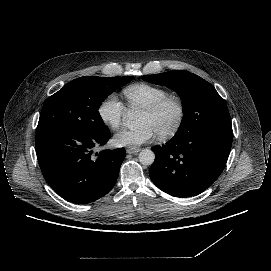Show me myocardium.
Returning <instances> with one entry per match:
<instances>
[{"mask_svg":"<svg viewBox=\"0 0 271 271\" xmlns=\"http://www.w3.org/2000/svg\"><path fill=\"white\" fill-rule=\"evenodd\" d=\"M168 104H175L178 110V115L177 118L174 122V124L167 130L157 134V137L159 139H167L172 137L173 135L176 134V132L179 130V128L181 127L184 118H185V105L184 102L182 101V99L176 95H166L165 97L157 100L156 102H154L153 104H151L150 106L144 108L142 110L143 113L146 114H150V115H154L157 114L158 112H160L163 108H165Z\"/></svg>","mask_w":271,"mask_h":271,"instance_id":"obj_1","label":"myocardium"}]
</instances>
